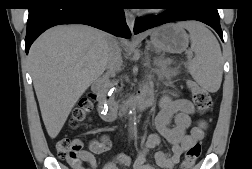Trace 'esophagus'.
I'll use <instances>...</instances> for the list:
<instances>
[{"instance_id": "1", "label": "esophagus", "mask_w": 252, "mask_h": 169, "mask_svg": "<svg viewBox=\"0 0 252 169\" xmlns=\"http://www.w3.org/2000/svg\"><path fill=\"white\" fill-rule=\"evenodd\" d=\"M125 17H126V22H127L129 29L131 30V32H133L134 26H135V16L133 15V13L126 10Z\"/></svg>"}]
</instances>
